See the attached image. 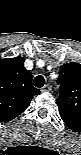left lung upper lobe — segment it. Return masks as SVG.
I'll return each instance as SVG.
<instances>
[{"instance_id":"5c2ea615","label":"left lung upper lobe","mask_w":81,"mask_h":155,"mask_svg":"<svg viewBox=\"0 0 81 155\" xmlns=\"http://www.w3.org/2000/svg\"><path fill=\"white\" fill-rule=\"evenodd\" d=\"M56 99L60 116L81 121V65L66 63L60 67Z\"/></svg>"}]
</instances>
